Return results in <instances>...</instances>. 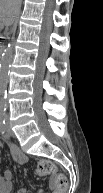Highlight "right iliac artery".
<instances>
[{
    "instance_id": "1",
    "label": "right iliac artery",
    "mask_w": 103,
    "mask_h": 193,
    "mask_svg": "<svg viewBox=\"0 0 103 193\" xmlns=\"http://www.w3.org/2000/svg\"><path fill=\"white\" fill-rule=\"evenodd\" d=\"M0 131L2 133L6 132V123H5V117L4 114H1L0 116Z\"/></svg>"
}]
</instances>
